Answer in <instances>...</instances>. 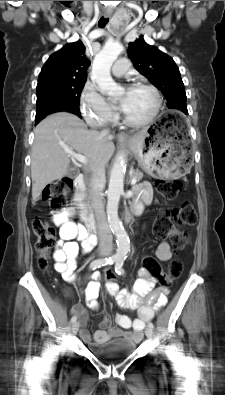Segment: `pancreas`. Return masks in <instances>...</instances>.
I'll list each match as a JSON object with an SVG mask.
<instances>
[{"instance_id": "pancreas-1", "label": "pancreas", "mask_w": 225, "mask_h": 395, "mask_svg": "<svg viewBox=\"0 0 225 395\" xmlns=\"http://www.w3.org/2000/svg\"><path fill=\"white\" fill-rule=\"evenodd\" d=\"M131 177L136 178L137 181H140L143 178V173L139 170H135V171H133Z\"/></svg>"}]
</instances>
